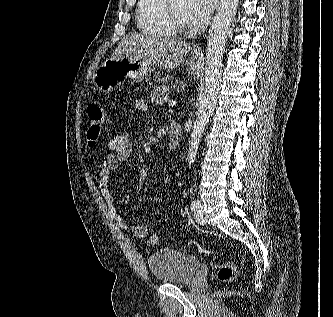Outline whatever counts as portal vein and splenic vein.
I'll return each mask as SVG.
<instances>
[{"label": "portal vein and splenic vein", "instance_id": "18ae733b", "mask_svg": "<svg viewBox=\"0 0 333 317\" xmlns=\"http://www.w3.org/2000/svg\"><path fill=\"white\" fill-rule=\"evenodd\" d=\"M165 101L168 103V106H170V107H173V106H175L176 105V101H174V100H171V99H169V98H165Z\"/></svg>", "mask_w": 333, "mask_h": 317}]
</instances>
